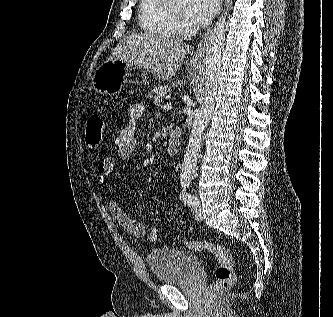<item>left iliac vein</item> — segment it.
I'll list each match as a JSON object with an SVG mask.
<instances>
[{"label":"left iliac vein","instance_id":"4c4485c4","mask_svg":"<svg viewBox=\"0 0 333 317\" xmlns=\"http://www.w3.org/2000/svg\"><path fill=\"white\" fill-rule=\"evenodd\" d=\"M191 211H192V215L194 216V218L196 220H198V221L203 220V213H202L201 206H200V203L198 200L195 203V205L192 206Z\"/></svg>","mask_w":333,"mask_h":317}]
</instances>
